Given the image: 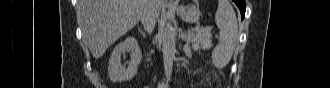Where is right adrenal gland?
Returning <instances> with one entry per match:
<instances>
[{
    "label": "right adrenal gland",
    "mask_w": 330,
    "mask_h": 88,
    "mask_svg": "<svg viewBox=\"0 0 330 88\" xmlns=\"http://www.w3.org/2000/svg\"><path fill=\"white\" fill-rule=\"evenodd\" d=\"M138 30H139V32H140V34L142 35V37H146V34H145V32L139 27L138 28Z\"/></svg>",
    "instance_id": "obj_1"
}]
</instances>
